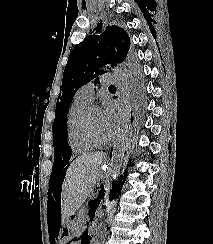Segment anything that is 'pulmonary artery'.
Returning a JSON list of instances; mask_svg holds the SVG:
<instances>
[{
	"instance_id": "obj_1",
	"label": "pulmonary artery",
	"mask_w": 213,
	"mask_h": 244,
	"mask_svg": "<svg viewBox=\"0 0 213 244\" xmlns=\"http://www.w3.org/2000/svg\"><path fill=\"white\" fill-rule=\"evenodd\" d=\"M99 81L101 85H107L110 83H114L116 82V76L114 74H110V73H106L103 74L99 77ZM94 85L91 83L85 84L84 86H82L76 94H78L80 97L88 100V101H92L94 99Z\"/></svg>"
}]
</instances>
